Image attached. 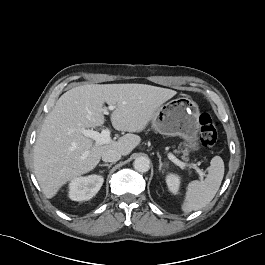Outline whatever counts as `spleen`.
<instances>
[{
    "label": "spleen",
    "mask_w": 265,
    "mask_h": 265,
    "mask_svg": "<svg viewBox=\"0 0 265 265\" xmlns=\"http://www.w3.org/2000/svg\"><path fill=\"white\" fill-rule=\"evenodd\" d=\"M205 180L191 181L186 189L182 210L197 211L208 205L216 195L224 176V162L220 156L211 159Z\"/></svg>",
    "instance_id": "3e777b00"
}]
</instances>
